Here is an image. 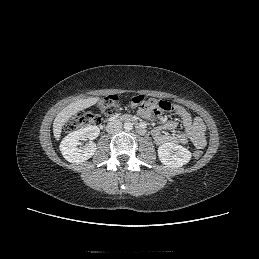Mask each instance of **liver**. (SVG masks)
<instances>
[{"mask_svg": "<svg viewBox=\"0 0 259 259\" xmlns=\"http://www.w3.org/2000/svg\"><path fill=\"white\" fill-rule=\"evenodd\" d=\"M99 98H87V99H80L77 100L64 109H62L54 119L53 122V134L56 140H59L61 137L62 127L68 121L70 117L75 115L77 112L84 110L86 108L91 107L92 105L98 102Z\"/></svg>", "mask_w": 259, "mask_h": 259, "instance_id": "6515ba94", "label": "liver"}]
</instances>
